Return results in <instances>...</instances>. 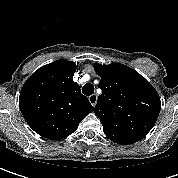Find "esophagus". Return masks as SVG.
Returning a JSON list of instances; mask_svg holds the SVG:
<instances>
[{
  "instance_id": "34e87169",
  "label": "esophagus",
  "mask_w": 178,
  "mask_h": 178,
  "mask_svg": "<svg viewBox=\"0 0 178 178\" xmlns=\"http://www.w3.org/2000/svg\"><path fill=\"white\" fill-rule=\"evenodd\" d=\"M88 99H89V102L92 104V106L96 105V103H97V95L96 94L89 96Z\"/></svg>"
}]
</instances>
